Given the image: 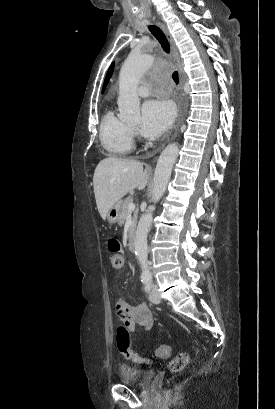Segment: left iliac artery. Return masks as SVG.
Instances as JSON below:
<instances>
[{
	"label": "left iliac artery",
	"instance_id": "left-iliac-artery-1",
	"mask_svg": "<svg viewBox=\"0 0 275 409\" xmlns=\"http://www.w3.org/2000/svg\"><path fill=\"white\" fill-rule=\"evenodd\" d=\"M151 285H152V281H151V279H149V281L145 284V291H150V288H151Z\"/></svg>",
	"mask_w": 275,
	"mask_h": 409
}]
</instances>
